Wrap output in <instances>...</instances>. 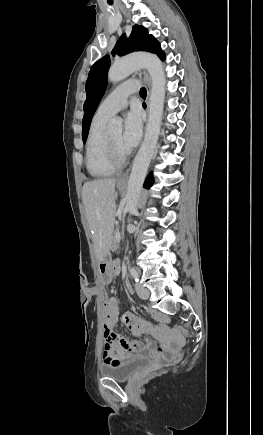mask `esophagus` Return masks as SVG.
Instances as JSON below:
<instances>
[{
	"label": "esophagus",
	"instance_id": "1",
	"mask_svg": "<svg viewBox=\"0 0 263 435\" xmlns=\"http://www.w3.org/2000/svg\"><path fill=\"white\" fill-rule=\"evenodd\" d=\"M142 74H143V76H144V81H145L146 88H147V97H146V99H145V103H146L147 108H148V107H149V101H150L151 79L149 78V76L147 75V73H146L145 71H143ZM128 174H129V169H128L124 174H122V175L119 177L118 181H119V182H124V181H126V180H127V177H128Z\"/></svg>",
	"mask_w": 263,
	"mask_h": 435
}]
</instances>
